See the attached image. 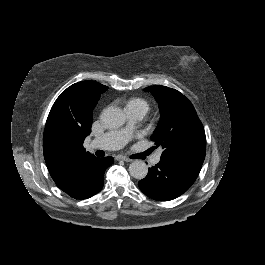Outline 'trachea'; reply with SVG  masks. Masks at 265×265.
I'll return each instance as SVG.
<instances>
[{"mask_svg":"<svg viewBox=\"0 0 265 265\" xmlns=\"http://www.w3.org/2000/svg\"><path fill=\"white\" fill-rule=\"evenodd\" d=\"M131 158L136 159L137 157H136V155H133V156H131Z\"/></svg>","mask_w":265,"mask_h":265,"instance_id":"3493384b","label":"trachea"}]
</instances>
